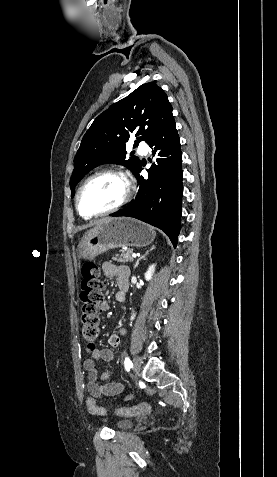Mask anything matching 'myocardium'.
<instances>
[{"label": "myocardium", "mask_w": 277, "mask_h": 477, "mask_svg": "<svg viewBox=\"0 0 277 477\" xmlns=\"http://www.w3.org/2000/svg\"><path fill=\"white\" fill-rule=\"evenodd\" d=\"M102 175H114V176H117V177L121 178L125 183V193H124L123 197L121 198V200L116 205L112 206L111 208H108V209H106L104 211H101V212H98V213H84L81 209V203H80L82 192L90 181H92L93 179H95L99 176H102ZM131 193H132L131 183H130L129 179L127 178V176L122 171H120L118 169H114V168L102 169V170H99V171L95 172L91 176H89L79 187V189L77 191V194H76V199H75L76 209H77L78 213L82 217H85V218H94V217L105 216V215L114 213V212L120 210L122 207H124L128 203V201L130 200Z\"/></svg>", "instance_id": "1"}]
</instances>
